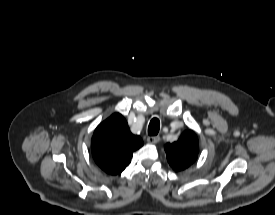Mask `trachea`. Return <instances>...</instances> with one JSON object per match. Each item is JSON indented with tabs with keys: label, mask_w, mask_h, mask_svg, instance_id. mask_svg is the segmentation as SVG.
Listing matches in <instances>:
<instances>
[{
	"label": "trachea",
	"mask_w": 275,
	"mask_h": 215,
	"mask_svg": "<svg viewBox=\"0 0 275 215\" xmlns=\"http://www.w3.org/2000/svg\"><path fill=\"white\" fill-rule=\"evenodd\" d=\"M160 128V121L158 118H153L148 126V134L150 136H155L158 134Z\"/></svg>",
	"instance_id": "obj_1"
}]
</instances>
